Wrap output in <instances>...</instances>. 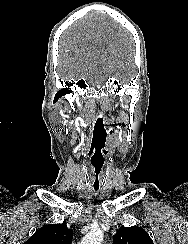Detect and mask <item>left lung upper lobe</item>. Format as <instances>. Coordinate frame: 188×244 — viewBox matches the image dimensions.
Masks as SVG:
<instances>
[{
    "instance_id": "obj_1",
    "label": "left lung upper lobe",
    "mask_w": 188,
    "mask_h": 244,
    "mask_svg": "<svg viewBox=\"0 0 188 244\" xmlns=\"http://www.w3.org/2000/svg\"><path fill=\"white\" fill-rule=\"evenodd\" d=\"M114 244H154L148 233L138 226H121L114 237Z\"/></svg>"
}]
</instances>
